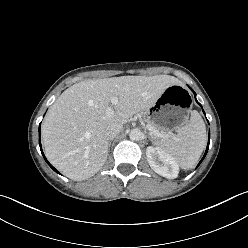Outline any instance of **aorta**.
Segmentation results:
<instances>
[{
  "instance_id": "obj_1",
  "label": "aorta",
  "mask_w": 248,
  "mask_h": 248,
  "mask_svg": "<svg viewBox=\"0 0 248 248\" xmlns=\"http://www.w3.org/2000/svg\"><path fill=\"white\" fill-rule=\"evenodd\" d=\"M142 135H143V133L139 129H137V128L132 129L130 131V133H129V137H130V139L132 141H139V140H141Z\"/></svg>"
}]
</instances>
